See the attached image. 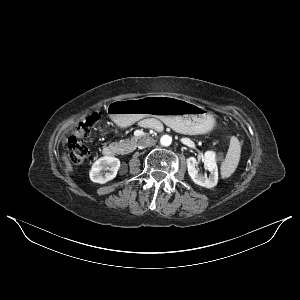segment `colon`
<instances>
[{"mask_svg": "<svg viewBox=\"0 0 300 300\" xmlns=\"http://www.w3.org/2000/svg\"><path fill=\"white\" fill-rule=\"evenodd\" d=\"M96 120V115H90L76 124L67 135L65 140L67 157L73 164H80L89 156V148L83 139L89 135Z\"/></svg>", "mask_w": 300, "mask_h": 300, "instance_id": "5ec220e1", "label": "colon"}]
</instances>
